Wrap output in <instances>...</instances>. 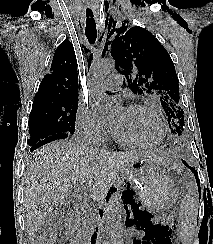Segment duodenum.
<instances>
[{"label":"duodenum","instance_id":"duodenum-1","mask_svg":"<svg viewBox=\"0 0 213 244\" xmlns=\"http://www.w3.org/2000/svg\"><path fill=\"white\" fill-rule=\"evenodd\" d=\"M90 244H104L103 233L100 228H95L92 231Z\"/></svg>","mask_w":213,"mask_h":244}]
</instances>
